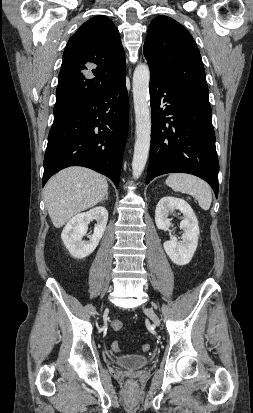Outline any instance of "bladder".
<instances>
[{
	"label": "bladder",
	"mask_w": 253,
	"mask_h": 413,
	"mask_svg": "<svg viewBox=\"0 0 253 413\" xmlns=\"http://www.w3.org/2000/svg\"><path fill=\"white\" fill-rule=\"evenodd\" d=\"M150 362L147 355L126 354L115 358V363L124 368L137 369L146 366Z\"/></svg>",
	"instance_id": "1"
}]
</instances>
